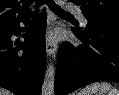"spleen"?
I'll return each mask as SVG.
<instances>
[{
  "label": "spleen",
  "mask_w": 119,
  "mask_h": 95,
  "mask_svg": "<svg viewBox=\"0 0 119 95\" xmlns=\"http://www.w3.org/2000/svg\"><path fill=\"white\" fill-rule=\"evenodd\" d=\"M106 94L108 95H119V91L116 88H113L111 84L107 82L102 83H92L82 89L78 95H95V94Z\"/></svg>",
  "instance_id": "3e777b00"
}]
</instances>
